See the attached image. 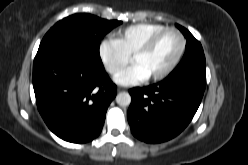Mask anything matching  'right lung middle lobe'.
Wrapping results in <instances>:
<instances>
[{
    "mask_svg": "<svg viewBox=\"0 0 248 165\" xmlns=\"http://www.w3.org/2000/svg\"><path fill=\"white\" fill-rule=\"evenodd\" d=\"M118 20H105L91 14H74L58 21L42 39L38 52L60 46L75 45L83 47L92 60L103 66L99 46L101 38L114 27Z\"/></svg>",
    "mask_w": 248,
    "mask_h": 165,
    "instance_id": "1",
    "label": "right lung middle lobe"
}]
</instances>
